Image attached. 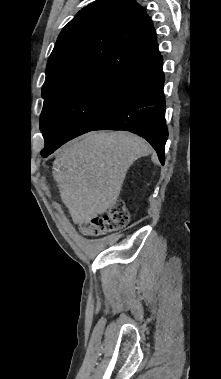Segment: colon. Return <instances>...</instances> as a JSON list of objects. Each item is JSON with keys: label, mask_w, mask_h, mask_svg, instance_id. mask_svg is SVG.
Wrapping results in <instances>:
<instances>
[{"label": "colon", "mask_w": 221, "mask_h": 379, "mask_svg": "<svg viewBox=\"0 0 221 379\" xmlns=\"http://www.w3.org/2000/svg\"><path fill=\"white\" fill-rule=\"evenodd\" d=\"M129 215L123 202H116L106 213L93 217L80 225L87 236H100L122 229L128 223Z\"/></svg>", "instance_id": "1"}]
</instances>
